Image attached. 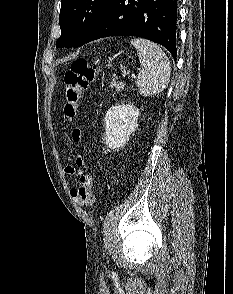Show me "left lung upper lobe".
Masks as SVG:
<instances>
[{
    "instance_id": "1",
    "label": "left lung upper lobe",
    "mask_w": 233,
    "mask_h": 294,
    "mask_svg": "<svg viewBox=\"0 0 233 294\" xmlns=\"http://www.w3.org/2000/svg\"><path fill=\"white\" fill-rule=\"evenodd\" d=\"M112 0H61L57 47H80L98 25Z\"/></svg>"
}]
</instances>
